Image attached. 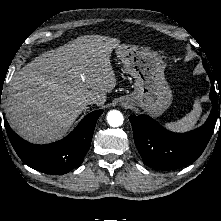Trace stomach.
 <instances>
[{
	"label": "stomach",
	"mask_w": 221,
	"mask_h": 221,
	"mask_svg": "<svg viewBox=\"0 0 221 221\" xmlns=\"http://www.w3.org/2000/svg\"><path fill=\"white\" fill-rule=\"evenodd\" d=\"M116 54L135 80L134 91L122 98V105L138 106L150 116H160L172 102L162 57L152 50L124 44L116 47Z\"/></svg>",
	"instance_id": "stomach-1"
}]
</instances>
